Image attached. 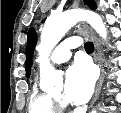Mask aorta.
Here are the masks:
<instances>
[{
	"instance_id": "obj_1",
	"label": "aorta",
	"mask_w": 121,
	"mask_h": 113,
	"mask_svg": "<svg viewBox=\"0 0 121 113\" xmlns=\"http://www.w3.org/2000/svg\"><path fill=\"white\" fill-rule=\"evenodd\" d=\"M79 21H87L103 39H106L105 23L95 12L76 9L63 13H52L45 21L38 49L41 87L44 90H50L62 80L61 74L49 63L50 52L65 33ZM93 113H96V111H93Z\"/></svg>"
}]
</instances>
